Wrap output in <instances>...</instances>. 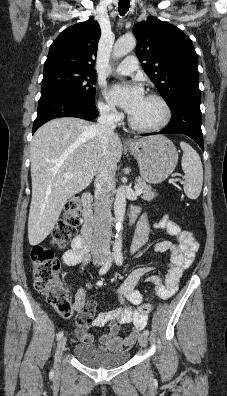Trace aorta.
I'll use <instances>...</instances> for the list:
<instances>
[{
    "instance_id": "aorta-1",
    "label": "aorta",
    "mask_w": 227,
    "mask_h": 396,
    "mask_svg": "<svg viewBox=\"0 0 227 396\" xmlns=\"http://www.w3.org/2000/svg\"><path fill=\"white\" fill-rule=\"evenodd\" d=\"M136 46V39L132 34H126L120 37L113 48V57L121 58L130 53ZM126 210V192L120 187L116 191V197L114 201V214L116 222V240L114 243V251L119 252L122 249V238L121 231L123 229V220Z\"/></svg>"
}]
</instances>
